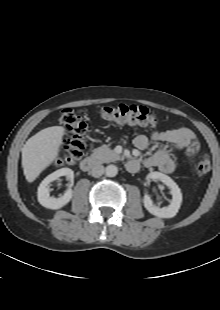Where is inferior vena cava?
Here are the masks:
<instances>
[{"mask_svg":"<svg viewBox=\"0 0 220 310\" xmlns=\"http://www.w3.org/2000/svg\"><path fill=\"white\" fill-rule=\"evenodd\" d=\"M105 168L103 165L101 164H97L95 166H93V168L90 171V174L95 177L98 178L100 176H102V174H104Z\"/></svg>","mask_w":220,"mask_h":310,"instance_id":"inferior-vena-cava-1","label":"inferior vena cava"}]
</instances>
